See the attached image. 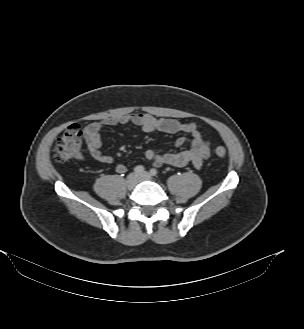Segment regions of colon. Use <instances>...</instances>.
<instances>
[{
  "instance_id": "colon-1",
  "label": "colon",
  "mask_w": 304,
  "mask_h": 329,
  "mask_svg": "<svg viewBox=\"0 0 304 329\" xmlns=\"http://www.w3.org/2000/svg\"><path fill=\"white\" fill-rule=\"evenodd\" d=\"M84 142V131L82 128L73 124L69 126L58 138L54 148V158L58 162L68 161L78 155ZM217 157L223 158L227 150L223 146H217L214 149Z\"/></svg>"
}]
</instances>
